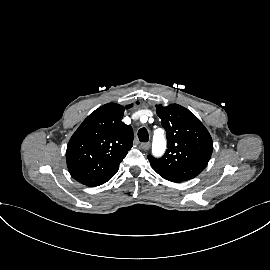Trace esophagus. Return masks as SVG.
<instances>
[{
  "instance_id": "esophagus-1",
  "label": "esophagus",
  "mask_w": 270,
  "mask_h": 270,
  "mask_svg": "<svg viewBox=\"0 0 270 270\" xmlns=\"http://www.w3.org/2000/svg\"><path fill=\"white\" fill-rule=\"evenodd\" d=\"M151 144L149 142H146V143H141L140 144V148L142 150H148L150 148Z\"/></svg>"
}]
</instances>
